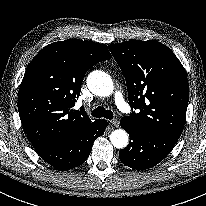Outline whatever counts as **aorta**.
I'll return each instance as SVG.
<instances>
[{
  "label": "aorta",
  "mask_w": 206,
  "mask_h": 206,
  "mask_svg": "<svg viewBox=\"0 0 206 206\" xmlns=\"http://www.w3.org/2000/svg\"><path fill=\"white\" fill-rule=\"evenodd\" d=\"M87 85L93 94L104 97L111 95L114 89L111 77L102 71L90 73ZM110 141L118 149L125 148L128 144V134L123 129L114 130L110 135Z\"/></svg>",
  "instance_id": "1"
}]
</instances>
